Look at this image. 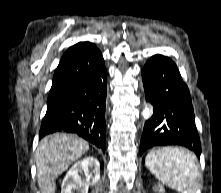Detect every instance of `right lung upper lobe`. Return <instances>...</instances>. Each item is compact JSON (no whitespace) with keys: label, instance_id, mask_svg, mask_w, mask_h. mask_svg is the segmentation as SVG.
Segmentation results:
<instances>
[{"label":"right lung upper lobe","instance_id":"right-lung-upper-lobe-1","mask_svg":"<svg viewBox=\"0 0 221 193\" xmlns=\"http://www.w3.org/2000/svg\"><path fill=\"white\" fill-rule=\"evenodd\" d=\"M103 59L90 42H79L63 55L53 77L48 102L59 101Z\"/></svg>","mask_w":221,"mask_h":193}]
</instances>
